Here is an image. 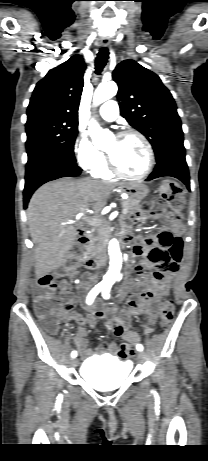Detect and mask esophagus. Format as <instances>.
<instances>
[{
    "label": "esophagus",
    "instance_id": "esophagus-1",
    "mask_svg": "<svg viewBox=\"0 0 208 461\" xmlns=\"http://www.w3.org/2000/svg\"><path fill=\"white\" fill-rule=\"evenodd\" d=\"M109 44H110V41H109V40H107V39L101 40V45H102V46H108Z\"/></svg>",
    "mask_w": 208,
    "mask_h": 461
}]
</instances>
